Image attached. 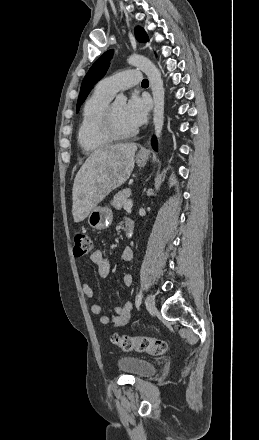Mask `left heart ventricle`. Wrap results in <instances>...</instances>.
<instances>
[{
	"instance_id": "b2bd125f",
	"label": "left heart ventricle",
	"mask_w": 259,
	"mask_h": 440,
	"mask_svg": "<svg viewBox=\"0 0 259 440\" xmlns=\"http://www.w3.org/2000/svg\"><path fill=\"white\" fill-rule=\"evenodd\" d=\"M125 106L124 102H116L113 105L114 117L117 124V127L121 131H131L135 127L128 121L125 114Z\"/></svg>"
}]
</instances>
